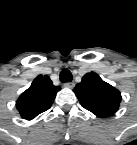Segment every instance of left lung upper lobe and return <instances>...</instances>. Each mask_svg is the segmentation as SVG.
<instances>
[{
  "label": "left lung upper lobe",
  "instance_id": "left-lung-upper-lobe-1",
  "mask_svg": "<svg viewBox=\"0 0 137 145\" xmlns=\"http://www.w3.org/2000/svg\"><path fill=\"white\" fill-rule=\"evenodd\" d=\"M81 106L97 117L105 118L115 114L121 102V93L106 83L95 72L87 73L73 90Z\"/></svg>",
  "mask_w": 137,
  "mask_h": 145
}]
</instances>
